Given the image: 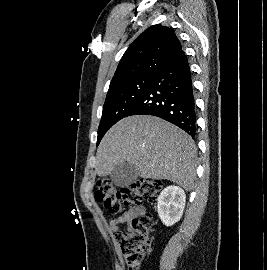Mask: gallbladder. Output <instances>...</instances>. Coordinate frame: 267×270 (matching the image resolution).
<instances>
[{
	"mask_svg": "<svg viewBox=\"0 0 267 270\" xmlns=\"http://www.w3.org/2000/svg\"><path fill=\"white\" fill-rule=\"evenodd\" d=\"M111 181L118 187H128L138 177V168L130 162L118 164L110 174Z\"/></svg>",
	"mask_w": 267,
	"mask_h": 270,
	"instance_id": "1",
	"label": "gallbladder"
}]
</instances>
